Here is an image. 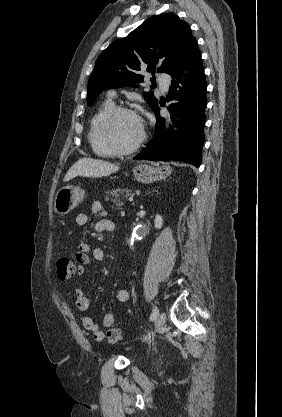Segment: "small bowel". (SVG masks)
Returning <instances> with one entry per match:
<instances>
[{"label": "small bowel", "mask_w": 282, "mask_h": 417, "mask_svg": "<svg viewBox=\"0 0 282 417\" xmlns=\"http://www.w3.org/2000/svg\"><path fill=\"white\" fill-rule=\"evenodd\" d=\"M92 213L103 217L94 225V231L96 233L108 232L113 233L116 229V223L107 216V210L103 203L100 201H94L91 206ZM90 217L87 213H79L76 216V223L79 226H87L89 224ZM75 259L77 262L76 272L82 275L85 271V266L90 263V260L101 262L105 259V251L103 248L95 246L90 247L86 240H81L78 245V250L75 253ZM75 300L78 311L80 312V322L83 328L92 333L96 341H103L106 334L99 328V326L93 321V319L86 313L89 310L90 302L83 289L75 290ZM116 299L119 303H127L130 299V292L127 288H120L117 290ZM118 315L114 312H109L104 315L102 325L108 328L110 323H116Z\"/></svg>", "instance_id": "small-bowel-1"}]
</instances>
